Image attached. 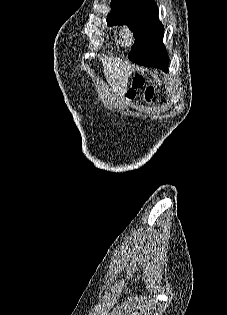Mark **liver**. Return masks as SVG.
<instances>
[{
    "instance_id": "obj_1",
    "label": "liver",
    "mask_w": 227,
    "mask_h": 315,
    "mask_svg": "<svg viewBox=\"0 0 227 315\" xmlns=\"http://www.w3.org/2000/svg\"><path fill=\"white\" fill-rule=\"evenodd\" d=\"M105 77L111 86L110 90L122 97L127 91L128 77L132 72L131 65L118 58H101Z\"/></svg>"
}]
</instances>
